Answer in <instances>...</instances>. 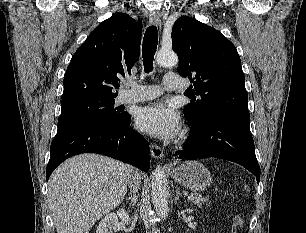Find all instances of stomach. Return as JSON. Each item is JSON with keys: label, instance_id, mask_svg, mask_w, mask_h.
Masks as SVG:
<instances>
[{"label": "stomach", "instance_id": "stomach-1", "mask_svg": "<svg viewBox=\"0 0 306 233\" xmlns=\"http://www.w3.org/2000/svg\"><path fill=\"white\" fill-rule=\"evenodd\" d=\"M175 182L192 191H203L211 183L209 170L195 160L185 161L171 171Z\"/></svg>", "mask_w": 306, "mask_h": 233}]
</instances>
